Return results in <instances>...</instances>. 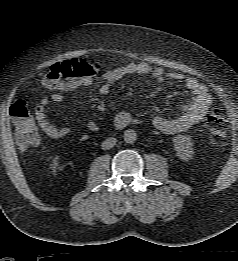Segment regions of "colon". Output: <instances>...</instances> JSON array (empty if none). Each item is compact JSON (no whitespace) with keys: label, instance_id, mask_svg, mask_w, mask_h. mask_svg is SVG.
I'll use <instances>...</instances> for the list:
<instances>
[{"label":"colon","instance_id":"obj_1","mask_svg":"<svg viewBox=\"0 0 238 261\" xmlns=\"http://www.w3.org/2000/svg\"><path fill=\"white\" fill-rule=\"evenodd\" d=\"M98 71V65L84 59H71L52 65L44 75V84L52 89L66 90L83 78L92 77ZM13 120L15 139L21 150L35 146L40 141L33 114L25 101L19 100L10 108ZM207 124L216 143H223L227 137L228 119L217 109H213Z\"/></svg>","mask_w":238,"mask_h":261}]
</instances>
